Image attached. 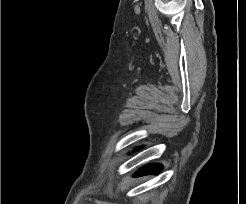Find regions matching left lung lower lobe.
<instances>
[{
  "instance_id": "1",
  "label": "left lung lower lobe",
  "mask_w": 246,
  "mask_h": 204,
  "mask_svg": "<svg viewBox=\"0 0 246 204\" xmlns=\"http://www.w3.org/2000/svg\"><path fill=\"white\" fill-rule=\"evenodd\" d=\"M162 170V166L160 164H149L147 166L142 167L141 169H139L137 171V173L135 174V176H139V175H144V174H148V173H158Z\"/></svg>"
}]
</instances>
